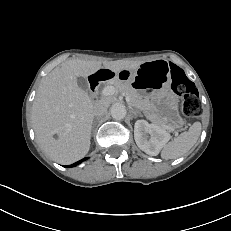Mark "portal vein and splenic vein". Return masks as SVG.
<instances>
[{"label":"portal vein and splenic vein","instance_id":"18ae733b","mask_svg":"<svg viewBox=\"0 0 231 231\" xmlns=\"http://www.w3.org/2000/svg\"><path fill=\"white\" fill-rule=\"evenodd\" d=\"M117 92L116 88L114 86H106L103 88L102 90V95L103 96H110V95H114ZM126 101L130 102V97L126 96ZM175 134H177L176 131H174Z\"/></svg>","mask_w":231,"mask_h":231}]
</instances>
